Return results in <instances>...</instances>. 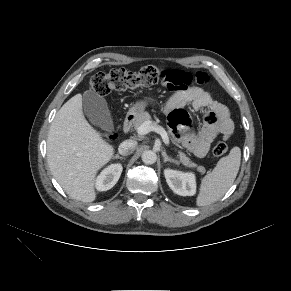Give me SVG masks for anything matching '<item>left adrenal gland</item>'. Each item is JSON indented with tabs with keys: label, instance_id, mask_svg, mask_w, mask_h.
Instances as JSON below:
<instances>
[{
	"label": "left adrenal gland",
	"instance_id": "left-adrenal-gland-1",
	"mask_svg": "<svg viewBox=\"0 0 291 291\" xmlns=\"http://www.w3.org/2000/svg\"><path fill=\"white\" fill-rule=\"evenodd\" d=\"M162 156H163V160H164V162L169 161V162H173V163H175V164H178V163H179L176 159H174V158L168 156V155L166 154L165 151L162 152Z\"/></svg>",
	"mask_w": 291,
	"mask_h": 291
}]
</instances>
